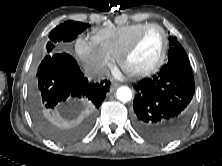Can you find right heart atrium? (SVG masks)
<instances>
[{
  "mask_svg": "<svg viewBox=\"0 0 222 166\" xmlns=\"http://www.w3.org/2000/svg\"><path fill=\"white\" fill-rule=\"evenodd\" d=\"M76 50L86 67L95 73H104L111 64V57L104 53L90 38H79L76 43Z\"/></svg>",
  "mask_w": 222,
  "mask_h": 166,
  "instance_id": "right-heart-atrium-1",
  "label": "right heart atrium"
}]
</instances>
